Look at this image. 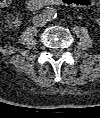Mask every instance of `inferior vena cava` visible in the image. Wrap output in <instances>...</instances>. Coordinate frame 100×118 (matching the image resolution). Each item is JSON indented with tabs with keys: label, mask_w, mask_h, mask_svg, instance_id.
<instances>
[{
	"label": "inferior vena cava",
	"mask_w": 100,
	"mask_h": 118,
	"mask_svg": "<svg viewBox=\"0 0 100 118\" xmlns=\"http://www.w3.org/2000/svg\"><path fill=\"white\" fill-rule=\"evenodd\" d=\"M47 23L45 17L42 14H36L33 17V24L37 27H42Z\"/></svg>",
	"instance_id": "inferior-vena-cava-1"
}]
</instances>
